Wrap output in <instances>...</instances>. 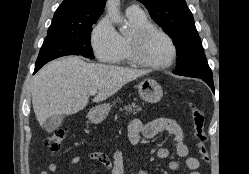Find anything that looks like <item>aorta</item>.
<instances>
[{
  "instance_id": "762f6f07",
  "label": "aorta",
  "mask_w": 249,
  "mask_h": 174,
  "mask_svg": "<svg viewBox=\"0 0 249 174\" xmlns=\"http://www.w3.org/2000/svg\"><path fill=\"white\" fill-rule=\"evenodd\" d=\"M107 7V14L111 18V20L117 24L120 25V30H124L123 26V18L120 15L119 10V0H108L106 3Z\"/></svg>"
}]
</instances>
